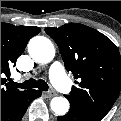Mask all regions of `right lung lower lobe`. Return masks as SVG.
I'll return each instance as SVG.
<instances>
[{
  "label": "right lung lower lobe",
  "instance_id": "right-lung-lower-lobe-1",
  "mask_svg": "<svg viewBox=\"0 0 121 121\" xmlns=\"http://www.w3.org/2000/svg\"><path fill=\"white\" fill-rule=\"evenodd\" d=\"M39 90H27L1 110V121H20L33 99L41 96Z\"/></svg>",
  "mask_w": 121,
  "mask_h": 121
}]
</instances>
